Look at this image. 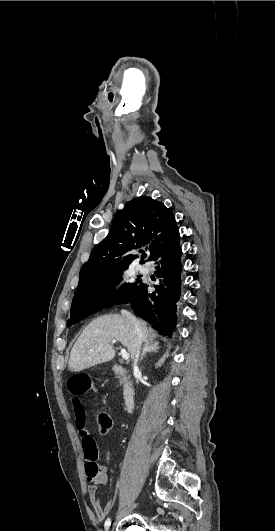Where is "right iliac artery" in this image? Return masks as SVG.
<instances>
[{
  "instance_id": "82829eb1",
  "label": "right iliac artery",
  "mask_w": 275,
  "mask_h": 531,
  "mask_svg": "<svg viewBox=\"0 0 275 531\" xmlns=\"http://www.w3.org/2000/svg\"><path fill=\"white\" fill-rule=\"evenodd\" d=\"M110 525H111V520H110V519H107V520L105 521V531H108Z\"/></svg>"
}]
</instances>
